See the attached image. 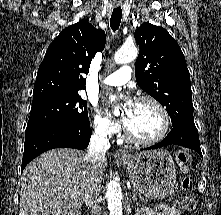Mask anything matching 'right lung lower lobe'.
I'll use <instances>...</instances> for the list:
<instances>
[{
	"instance_id": "1",
	"label": "right lung lower lobe",
	"mask_w": 221,
	"mask_h": 215,
	"mask_svg": "<svg viewBox=\"0 0 221 215\" xmlns=\"http://www.w3.org/2000/svg\"><path fill=\"white\" fill-rule=\"evenodd\" d=\"M90 124L77 130L45 127L26 132L22 170L41 153L53 148L85 149L91 137Z\"/></svg>"
}]
</instances>
